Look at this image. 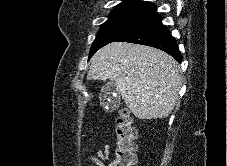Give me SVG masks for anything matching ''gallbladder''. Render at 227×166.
Masks as SVG:
<instances>
[{"instance_id": "obj_1", "label": "gallbladder", "mask_w": 227, "mask_h": 166, "mask_svg": "<svg viewBox=\"0 0 227 166\" xmlns=\"http://www.w3.org/2000/svg\"><path fill=\"white\" fill-rule=\"evenodd\" d=\"M100 104L107 110L112 111L117 108V105L120 100V92L118 86L115 82L110 81L106 83L100 91Z\"/></svg>"}]
</instances>
